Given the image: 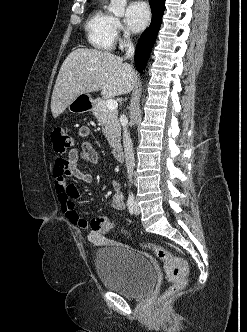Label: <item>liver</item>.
<instances>
[{"label":"liver","instance_id":"6515ba94","mask_svg":"<svg viewBox=\"0 0 247 332\" xmlns=\"http://www.w3.org/2000/svg\"><path fill=\"white\" fill-rule=\"evenodd\" d=\"M131 65L119 56L96 49L78 48L64 60L51 98L57 118L79 95L101 91L104 97L128 93L134 82Z\"/></svg>","mask_w":247,"mask_h":332}]
</instances>
